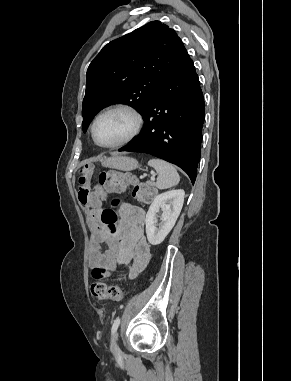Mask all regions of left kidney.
I'll return each instance as SVG.
<instances>
[{
    "label": "left kidney",
    "mask_w": 291,
    "mask_h": 381,
    "mask_svg": "<svg viewBox=\"0 0 291 381\" xmlns=\"http://www.w3.org/2000/svg\"><path fill=\"white\" fill-rule=\"evenodd\" d=\"M182 189L170 190L157 195L146 215V235L150 244L158 245L174 227L184 203ZM161 209V222L157 223L156 214Z\"/></svg>",
    "instance_id": "1"
}]
</instances>
